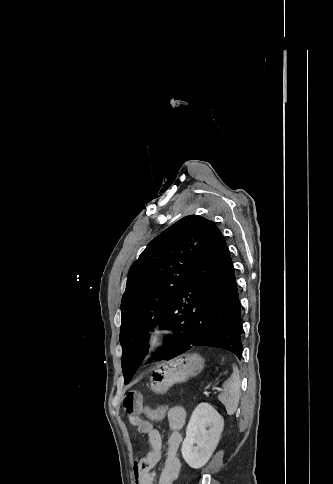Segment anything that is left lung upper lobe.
<instances>
[{
  "instance_id": "5c2ea615",
  "label": "left lung upper lobe",
  "mask_w": 333,
  "mask_h": 484,
  "mask_svg": "<svg viewBox=\"0 0 333 484\" xmlns=\"http://www.w3.org/2000/svg\"><path fill=\"white\" fill-rule=\"evenodd\" d=\"M212 221L186 216L154 238L128 272L121 301L120 343L124 383L148 353L146 335L162 318L177 284Z\"/></svg>"
}]
</instances>
